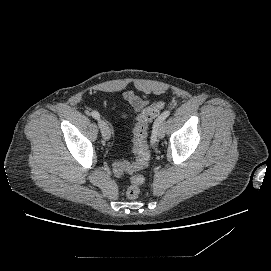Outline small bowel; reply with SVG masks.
<instances>
[{
    "label": "small bowel",
    "mask_w": 271,
    "mask_h": 271,
    "mask_svg": "<svg viewBox=\"0 0 271 271\" xmlns=\"http://www.w3.org/2000/svg\"><path fill=\"white\" fill-rule=\"evenodd\" d=\"M124 97L129 102L134 111H141L146 104L141 98L134 95L132 92L125 93Z\"/></svg>",
    "instance_id": "c3829d8e"
}]
</instances>
